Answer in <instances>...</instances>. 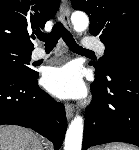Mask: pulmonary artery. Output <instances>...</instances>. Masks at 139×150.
Listing matches in <instances>:
<instances>
[{"mask_svg": "<svg viewBox=\"0 0 139 150\" xmlns=\"http://www.w3.org/2000/svg\"><path fill=\"white\" fill-rule=\"evenodd\" d=\"M83 48L87 49V50H96L98 51L101 55H104L106 47L105 45L100 42L97 39L94 38H86L83 41ZM48 57V54L40 48H36L33 52H32V58L34 60H41V59H45Z\"/></svg>", "mask_w": 139, "mask_h": 150, "instance_id": "1", "label": "pulmonary artery"}]
</instances>
